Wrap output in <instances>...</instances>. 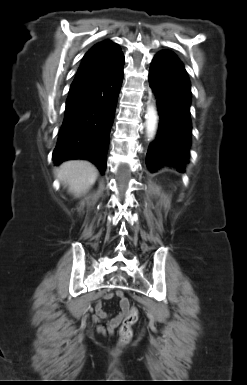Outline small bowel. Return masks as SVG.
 Wrapping results in <instances>:
<instances>
[{"label": "small bowel", "instance_id": "small-bowel-1", "mask_svg": "<svg viewBox=\"0 0 247 385\" xmlns=\"http://www.w3.org/2000/svg\"><path fill=\"white\" fill-rule=\"evenodd\" d=\"M113 298H118L121 305V311L114 315H110L104 309V304L101 301L97 302L95 305V314L93 316V321L98 323L97 332L101 335H106L107 332L113 333L126 315L125 307L128 305V301L126 298H124L123 291L120 289H116L112 292L107 293L104 296V299L106 300ZM101 322H105L106 325L101 324Z\"/></svg>", "mask_w": 247, "mask_h": 385}]
</instances>
